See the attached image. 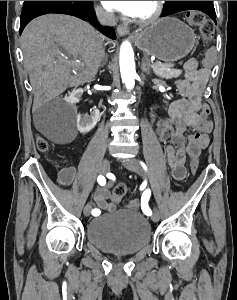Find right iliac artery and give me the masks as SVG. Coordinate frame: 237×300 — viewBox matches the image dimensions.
<instances>
[{
  "instance_id": "obj_1",
  "label": "right iliac artery",
  "mask_w": 237,
  "mask_h": 300,
  "mask_svg": "<svg viewBox=\"0 0 237 300\" xmlns=\"http://www.w3.org/2000/svg\"><path fill=\"white\" fill-rule=\"evenodd\" d=\"M97 181H98L99 185H101V186H104V185L106 184V179H105V177L102 176V175L98 176ZM97 210H98V209H93L92 212H93V211H94V212H98Z\"/></svg>"
}]
</instances>
